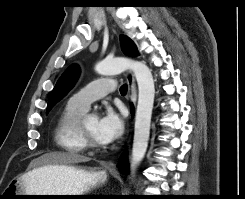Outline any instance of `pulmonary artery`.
<instances>
[{
    "instance_id": "obj_1",
    "label": "pulmonary artery",
    "mask_w": 245,
    "mask_h": 199,
    "mask_svg": "<svg viewBox=\"0 0 245 199\" xmlns=\"http://www.w3.org/2000/svg\"><path fill=\"white\" fill-rule=\"evenodd\" d=\"M115 88L116 82L114 80H95L74 94L70 98L69 103L77 108L87 111L92 102L113 92Z\"/></svg>"
}]
</instances>
